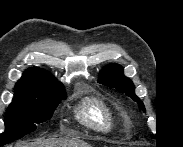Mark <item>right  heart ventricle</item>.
Returning a JSON list of instances; mask_svg holds the SVG:
<instances>
[{
	"mask_svg": "<svg viewBox=\"0 0 183 147\" xmlns=\"http://www.w3.org/2000/svg\"><path fill=\"white\" fill-rule=\"evenodd\" d=\"M79 120L93 130L110 131L115 126V116L111 107L95 97L85 99L78 108Z\"/></svg>",
	"mask_w": 183,
	"mask_h": 147,
	"instance_id": "obj_1",
	"label": "right heart ventricle"
}]
</instances>
